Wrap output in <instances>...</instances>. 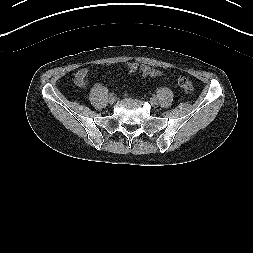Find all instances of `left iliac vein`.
<instances>
[{"label":"left iliac vein","instance_id":"1","mask_svg":"<svg viewBox=\"0 0 253 253\" xmlns=\"http://www.w3.org/2000/svg\"><path fill=\"white\" fill-rule=\"evenodd\" d=\"M150 103L152 104L153 107H157L158 105L157 101L152 98L150 99Z\"/></svg>","mask_w":253,"mask_h":253}]
</instances>
